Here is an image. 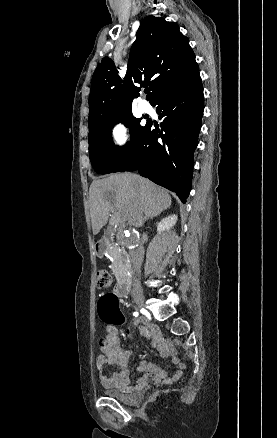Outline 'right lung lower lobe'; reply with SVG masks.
Segmentation results:
<instances>
[{
  "instance_id": "1",
  "label": "right lung lower lobe",
  "mask_w": 277,
  "mask_h": 438,
  "mask_svg": "<svg viewBox=\"0 0 277 438\" xmlns=\"http://www.w3.org/2000/svg\"><path fill=\"white\" fill-rule=\"evenodd\" d=\"M174 65L167 63L165 67L172 70ZM150 103L157 105L159 119H163L161 128L147 122L138 143L114 172L137 170L141 176L176 192L186 203L204 110L199 70L163 88Z\"/></svg>"
}]
</instances>
